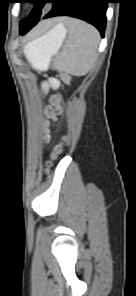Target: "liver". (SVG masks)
Masks as SVG:
<instances>
[{"instance_id": "1", "label": "liver", "mask_w": 136, "mask_h": 296, "mask_svg": "<svg viewBox=\"0 0 136 296\" xmlns=\"http://www.w3.org/2000/svg\"><path fill=\"white\" fill-rule=\"evenodd\" d=\"M49 22H50V21L44 22L39 28L44 27V25H45L46 23H49Z\"/></svg>"}]
</instances>
